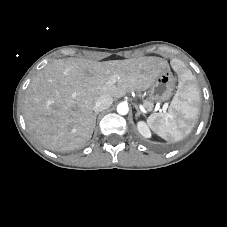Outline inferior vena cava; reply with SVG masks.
<instances>
[{
	"mask_svg": "<svg viewBox=\"0 0 227 227\" xmlns=\"http://www.w3.org/2000/svg\"><path fill=\"white\" fill-rule=\"evenodd\" d=\"M112 103H113V98L111 96L103 95L98 98V100L96 101V103L93 107V110L96 113L104 111V110L108 109L112 105Z\"/></svg>",
	"mask_w": 227,
	"mask_h": 227,
	"instance_id": "602c4592",
	"label": "inferior vena cava"
}]
</instances>
